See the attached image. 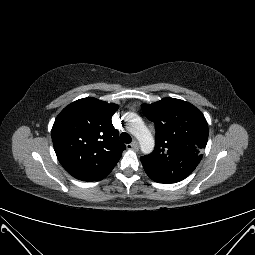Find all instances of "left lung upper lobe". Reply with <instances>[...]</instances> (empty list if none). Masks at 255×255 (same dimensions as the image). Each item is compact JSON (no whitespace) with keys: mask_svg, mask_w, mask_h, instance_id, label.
I'll use <instances>...</instances> for the list:
<instances>
[{"mask_svg":"<svg viewBox=\"0 0 255 255\" xmlns=\"http://www.w3.org/2000/svg\"><path fill=\"white\" fill-rule=\"evenodd\" d=\"M155 123L154 151L141 157L147 175L158 183H176L188 177L199 164L208 140L204 115L192 104L164 98L141 106Z\"/></svg>","mask_w":255,"mask_h":255,"instance_id":"5c2ea615","label":"left lung upper lobe"}]
</instances>
